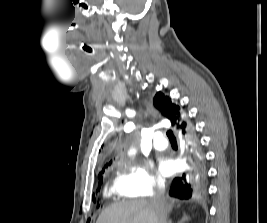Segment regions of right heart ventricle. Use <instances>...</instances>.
<instances>
[{"instance_id":"right-heart-ventricle-1","label":"right heart ventricle","mask_w":267,"mask_h":223,"mask_svg":"<svg viewBox=\"0 0 267 223\" xmlns=\"http://www.w3.org/2000/svg\"><path fill=\"white\" fill-rule=\"evenodd\" d=\"M104 194L107 198H116L128 195L120 188L118 178L106 187Z\"/></svg>"}]
</instances>
